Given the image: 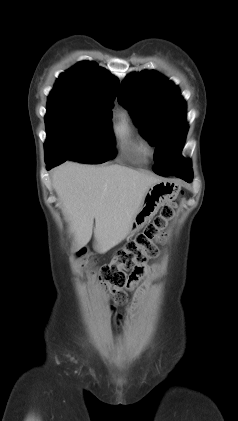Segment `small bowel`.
Wrapping results in <instances>:
<instances>
[{
  "label": "small bowel",
  "mask_w": 238,
  "mask_h": 421,
  "mask_svg": "<svg viewBox=\"0 0 238 421\" xmlns=\"http://www.w3.org/2000/svg\"><path fill=\"white\" fill-rule=\"evenodd\" d=\"M146 268L143 266L139 269H137L135 272L132 273L131 275V282L132 285H135L141 278L142 276L146 273Z\"/></svg>",
  "instance_id": "c3829d8e"
}]
</instances>
